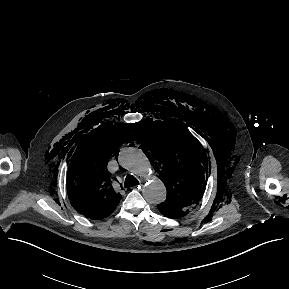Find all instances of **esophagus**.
Returning a JSON list of instances; mask_svg holds the SVG:
<instances>
[{
	"mask_svg": "<svg viewBox=\"0 0 289 289\" xmlns=\"http://www.w3.org/2000/svg\"><path fill=\"white\" fill-rule=\"evenodd\" d=\"M141 186H142V185H138V186H136V189H140V188H141Z\"/></svg>",
	"mask_w": 289,
	"mask_h": 289,
	"instance_id": "1",
	"label": "esophagus"
}]
</instances>
